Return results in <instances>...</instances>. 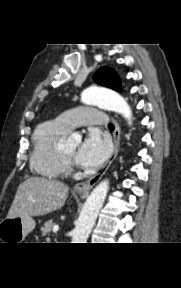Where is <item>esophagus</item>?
<instances>
[{
  "instance_id": "esophagus-1",
  "label": "esophagus",
  "mask_w": 181,
  "mask_h": 288,
  "mask_svg": "<svg viewBox=\"0 0 181 288\" xmlns=\"http://www.w3.org/2000/svg\"><path fill=\"white\" fill-rule=\"evenodd\" d=\"M113 123L115 126V129L113 132L114 149H113V152H112L111 156L109 157L108 161L106 162V164L104 165V167L102 168V170L98 174L91 177L89 180H87L85 182L77 183L74 186V190L79 195H81L82 197L88 196L90 190L101 179V177L105 174V172L108 170L111 163L113 162V160L116 158V156L118 154L119 145H120V126L116 120H113Z\"/></svg>"
}]
</instances>
